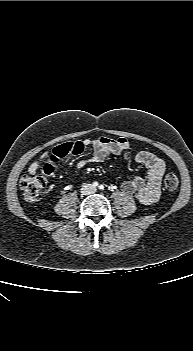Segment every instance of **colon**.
<instances>
[{
	"label": "colon",
	"mask_w": 193,
	"mask_h": 351,
	"mask_svg": "<svg viewBox=\"0 0 193 351\" xmlns=\"http://www.w3.org/2000/svg\"><path fill=\"white\" fill-rule=\"evenodd\" d=\"M179 185L178 176L173 172L164 175V186L169 190H174ZM46 186V179L43 175L24 176L20 181V189L25 201L35 202L42 194Z\"/></svg>",
	"instance_id": "5ec220e1"
}]
</instances>
